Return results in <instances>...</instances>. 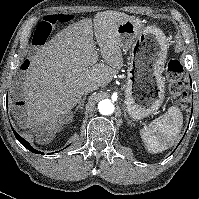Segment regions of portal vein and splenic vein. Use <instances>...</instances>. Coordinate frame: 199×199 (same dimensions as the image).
<instances>
[{"instance_id":"portal-vein-and-splenic-vein-1","label":"portal vein and splenic vein","mask_w":199,"mask_h":199,"mask_svg":"<svg viewBox=\"0 0 199 199\" xmlns=\"http://www.w3.org/2000/svg\"><path fill=\"white\" fill-rule=\"evenodd\" d=\"M97 59H98V57L96 56V57H94L93 58V63H96L97 62Z\"/></svg>"}]
</instances>
